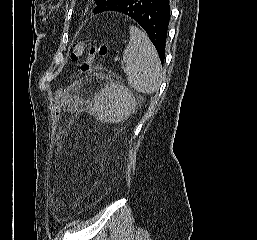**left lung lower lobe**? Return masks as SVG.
Returning <instances> with one entry per match:
<instances>
[{
  "mask_svg": "<svg viewBox=\"0 0 257 240\" xmlns=\"http://www.w3.org/2000/svg\"><path fill=\"white\" fill-rule=\"evenodd\" d=\"M108 11L121 13L136 21L150 37L163 64L170 21L169 0H122Z\"/></svg>",
  "mask_w": 257,
  "mask_h": 240,
  "instance_id": "0a47b994",
  "label": "left lung lower lobe"
}]
</instances>
